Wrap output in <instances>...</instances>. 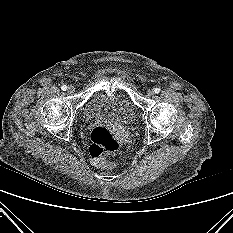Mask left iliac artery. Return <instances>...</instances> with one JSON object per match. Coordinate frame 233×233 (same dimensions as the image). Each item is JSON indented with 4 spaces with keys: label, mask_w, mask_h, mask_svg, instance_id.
Wrapping results in <instances>:
<instances>
[{
    "label": "left iliac artery",
    "mask_w": 233,
    "mask_h": 233,
    "mask_svg": "<svg viewBox=\"0 0 233 233\" xmlns=\"http://www.w3.org/2000/svg\"><path fill=\"white\" fill-rule=\"evenodd\" d=\"M160 91H161V90H160L159 87H156V88L154 89V93H156V94H158Z\"/></svg>",
    "instance_id": "1"
}]
</instances>
